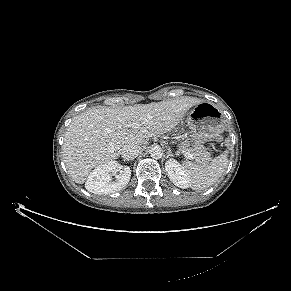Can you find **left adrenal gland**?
<instances>
[{"instance_id":"a2214340","label":"left adrenal gland","mask_w":291,"mask_h":291,"mask_svg":"<svg viewBox=\"0 0 291 291\" xmlns=\"http://www.w3.org/2000/svg\"><path fill=\"white\" fill-rule=\"evenodd\" d=\"M167 150H168V151H167V157H169V156H173V153H172L171 149L168 148Z\"/></svg>"}]
</instances>
